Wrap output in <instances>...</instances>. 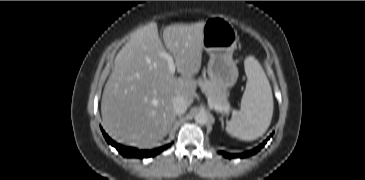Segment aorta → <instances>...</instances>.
<instances>
[{"instance_id": "1", "label": "aorta", "mask_w": 365, "mask_h": 180, "mask_svg": "<svg viewBox=\"0 0 365 180\" xmlns=\"http://www.w3.org/2000/svg\"><path fill=\"white\" fill-rule=\"evenodd\" d=\"M195 122L198 124H206L208 122V115L205 112H199L194 117Z\"/></svg>"}]
</instances>
